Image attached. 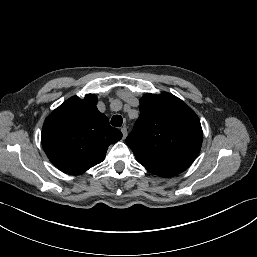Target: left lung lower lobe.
Returning <instances> with one entry per match:
<instances>
[{
	"instance_id": "0a47b994",
	"label": "left lung lower lobe",
	"mask_w": 257,
	"mask_h": 257,
	"mask_svg": "<svg viewBox=\"0 0 257 257\" xmlns=\"http://www.w3.org/2000/svg\"><path fill=\"white\" fill-rule=\"evenodd\" d=\"M154 174L162 176V177H169V176L177 175V174H174V173H154Z\"/></svg>"
}]
</instances>
